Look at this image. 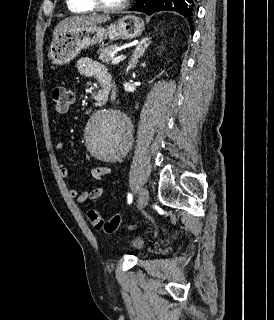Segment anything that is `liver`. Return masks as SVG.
Listing matches in <instances>:
<instances>
[{
    "mask_svg": "<svg viewBox=\"0 0 274 320\" xmlns=\"http://www.w3.org/2000/svg\"><path fill=\"white\" fill-rule=\"evenodd\" d=\"M110 20L109 16H97V14H92V16H72V18H65L62 22H59L53 32V38H56L60 32L63 30H68V28H77V26H96V24H103V22H108Z\"/></svg>",
    "mask_w": 274,
    "mask_h": 320,
    "instance_id": "liver-1",
    "label": "liver"
}]
</instances>
